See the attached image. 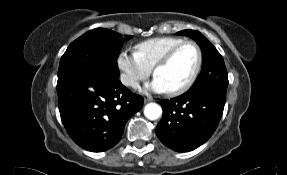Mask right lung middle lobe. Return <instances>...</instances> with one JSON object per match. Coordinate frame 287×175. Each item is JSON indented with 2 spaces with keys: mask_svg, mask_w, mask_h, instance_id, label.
Returning <instances> with one entry per match:
<instances>
[{
  "mask_svg": "<svg viewBox=\"0 0 287 175\" xmlns=\"http://www.w3.org/2000/svg\"><path fill=\"white\" fill-rule=\"evenodd\" d=\"M132 38L97 28L73 41L63 54L58 80L73 74H92L110 81L119 80L117 58L123 42Z\"/></svg>",
  "mask_w": 287,
  "mask_h": 175,
  "instance_id": "dd1d6c3e",
  "label": "right lung middle lobe"
}]
</instances>
